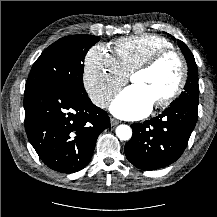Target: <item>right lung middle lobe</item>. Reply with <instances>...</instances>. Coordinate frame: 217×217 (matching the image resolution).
Masks as SVG:
<instances>
[{
    "label": "right lung middle lobe",
    "mask_w": 217,
    "mask_h": 217,
    "mask_svg": "<svg viewBox=\"0 0 217 217\" xmlns=\"http://www.w3.org/2000/svg\"><path fill=\"white\" fill-rule=\"evenodd\" d=\"M91 35H70L51 44L36 60L28 76L25 91L63 85L85 93L84 59L87 51L99 41Z\"/></svg>",
    "instance_id": "right-lung-middle-lobe-1"
}]
</instances>
